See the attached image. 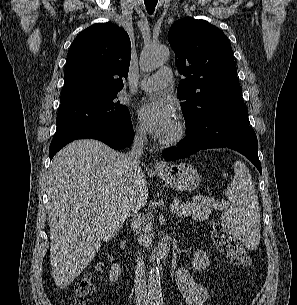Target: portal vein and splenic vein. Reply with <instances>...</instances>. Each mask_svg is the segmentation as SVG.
<instances>
[{
	"label": "portal vein and splenic vein",
	"instance_id": "1",
	"mask_svg": "<svg viewBox=\"0 0 297 305\" xmlns=\"http://www.w3.org/2000/svg\"><path fill=\"white\" fill-rule=\"evenodd\" d=\"M213 206L214 207H220L221 204H217V203H213ZM177 207H178V204H172L170 205V210L173 212V211H176L177 210Z\"/></svg>",
	"mask_w": 297,
	"mask_h": 305
}]
</instances>
